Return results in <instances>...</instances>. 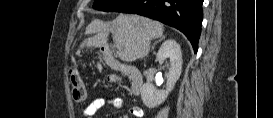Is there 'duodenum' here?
Listing matches in <instances>:
<instances>
[{"mask_svg": "<svg viewBox=\"0 0 273 118\" xmlns=\"http://www.w3.org/2000/svg\"><path fill=\"white\" fill-rule=\"evenodd\" d=\"M104 60L111 68L120 71L129 80L130 92L132 95L137 96L141 93L144 80L140 70L137 67L120 63L109 54L104 55Z\"/></svg>", "mask_w": 273, "mask_h": 118, "instance_id": "duodenum-1", "label": "duodenum"}]
</instances>
